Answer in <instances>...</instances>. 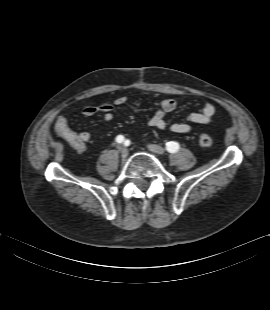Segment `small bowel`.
<instances>
[{"mask_svg":"<svg viewBox=\"0 0 270 310\" xmlns=\"http://www.w3.org/2000/svg\"><path fill=\"white\" fill-rule=\"evenodd\" d=\"M126 101L127 97L120 96L112 102L106 101L99 104L86 105L82 108L80 114L83 116H92L101 113V121L102 123L106 124L112 121L114 116L113 111L115 107L125 104ZM178 104L179 101L172 98L163 99L162 101L156 103L157 109L154 115L148 121L149 126L157 128L159 130L166 129L168 127V124L165 120V115L169 112L174 111L177 108ZM214 114V105L210 102H206L200 107L198 111L189 114L185 120L172 123L169 126V129L177 134H188L191 131L190 123L200 125L209 124L210 122H212ZM58 121L65 123L68 128L79 137L81 141V147L76 149H84L85 144L90 140V134L86 131L76 132L72 130L68 125L67 118L64 116L61 117Z\"/></svg>","mask_w":270,"mask_h":310,"instance_id":"small-bowel-1","label":"small bowel"}]
</instances>
